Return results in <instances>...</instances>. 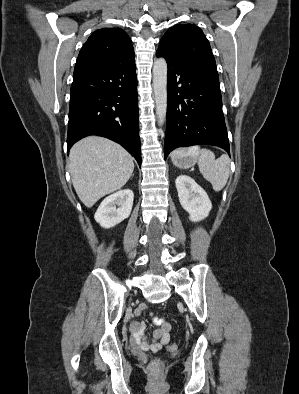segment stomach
I'll return each mask as SVG.
<instances>
[{"label":"stomach","instance_id":"1","mask_svg":"<svg viewBox=\"0 0 299 394\" xmlns=\"http://www.w3.org/2000/svg\"><path fill=\"white\" fill-rule=\"evenodd\" d=\"M198 161L197 152L178 151L172 156V162L179 168H189Z\"/></svg>","mask_w":299,"mask_h":394}]
</instances>
